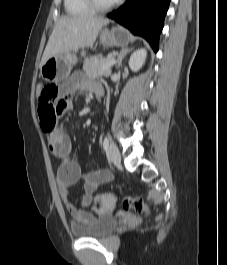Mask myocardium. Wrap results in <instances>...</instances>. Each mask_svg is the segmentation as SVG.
Here are the masks:
<instances>
[{
	"instance_id": "1",
	"label": "myocardium",
	"mask_w": 227,
	"mask_h": 265,
	"mask_svg": "<svg viewBox=\"0 0 227 265\" xmlns=\"http://www.w3.org/2000/svg\"><path fill=\"white\" fill-rule=\"evenodd\" d=\"M120 0L118 1H113L109 4L103 5L98 2V0H85L86 4L95 12H104L107 10L112 9L115 7Z\"/></svg>"
}]
</instances>
